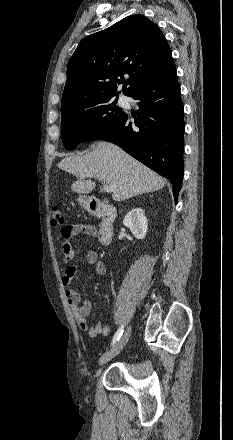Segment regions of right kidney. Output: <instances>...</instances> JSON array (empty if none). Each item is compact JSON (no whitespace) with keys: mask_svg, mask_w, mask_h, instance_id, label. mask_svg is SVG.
I'll return each instance as SVG.
<instances>
[{"mask_svg":"<svg viewBox=\"0 0 233 440\" xmlns=\"http://www.w3.org/2000/svg\"><path fill=\"white\" fill-rule=\"evenodd\" d=\"M123 225L128 227L135 238L143 239L148 230L147 218L141 208L132 209L124 217Z\"/></svg>","mask_w":233,"mask_h":440,"instance_id":"1","label":"right kidney"}]
</instances>
